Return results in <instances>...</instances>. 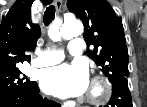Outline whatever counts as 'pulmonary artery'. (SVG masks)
I'll return each instance as SVG.
<instances>
[{
	"instance_id": "pulmonary-artery-1",
	"label": "pulmonary artery",
	"mask_w": 147,
	"mask_h": 107,
	"mask_svg": "<svg viewBox=\"0 0 147 107\" xmlns=\"http://www.w3.org/2000/svg\"><path fill=\"white\" fill-rule=\"evenodd\" d=\"M83 40L80 38H74L69 43V51L72 55H79L82 52ZM64 59V54L60 50L51 49L42 51L35 59L34 65L37 67H45L54 65L61 62Z\"/></svg>"
}]
</instances>
